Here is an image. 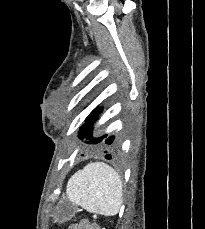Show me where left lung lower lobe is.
I'll use <instances>...</instances> for the list:
<instances>
[{
	"mask_svg": "<svg viewBox=\"0 0 205 229\" xmlns=\"http://www.w3.org/2000/svg\"><path fill=\"white\" fill-rule=\"evenodd\" d=\"M106 137V135L105 136H102V137H100L101 139H104ZM113 140H114V137H109V138H107L105 141H104V143H106V144H108V145H111L112 143H113ZM112 149L114 150V146L112 147V148H110V151H112ZM105 153H108V151H104ZM106 158L107 159H111V155L110 154H107L106 155Z\"/></svg>",
	"mask_w": 205,
	"mask_h": 229,
	"instance_id": "obj_1",
	"label": "left lung lower lobe"
}]
</instances>
